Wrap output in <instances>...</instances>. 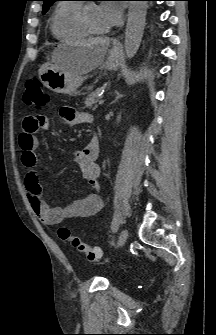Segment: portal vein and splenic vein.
<instances>
[{"mask_svg": "<svg viewBox=\"0 0 216 335\" xmlns=\"http://www.w3.org/2000/svg\"><path fill=\"white\" fill-rule=\"evenodd\" d=\"M104 102H105L104 99H100L99 104L102 105V104H104Z\"/></svg>", "mask_w": 216, "mask_h": 335, "instance_id": "obj_1", "label": "portal vein and splenic vein"}]
</instances>
